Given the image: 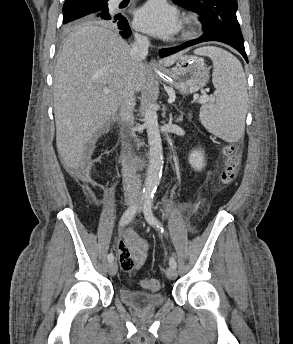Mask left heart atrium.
I'll return each mask as SVG.
<instances>
[{"label":"left heart atrium","mask_w":293,"mask_h":344,"mask_svg":"<svg viewBox=\"0 0 293 344\" xmlns=\"http://www.w3.org/2000/svg\"><path fill=\"white\" fill-rule=\"evenodd\" d=\"M134 24L137 29L160 38L177 33L181 27L177 11L164 0H151L141 7Z\"/></svg>","instance_id":"1"}]
</instances>
